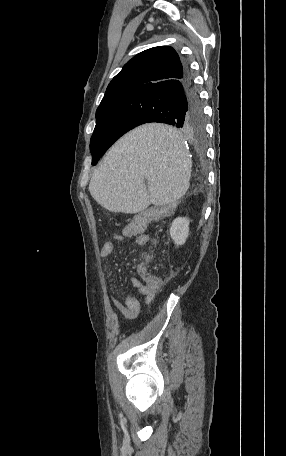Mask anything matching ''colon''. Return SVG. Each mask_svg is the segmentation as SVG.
Listing matches in <instances>:
<instances>
[{
	"label": "colon",
	"instance_id": "1",
	"mask_svg": "<svg viewBox=\"0 0 286 456\" xmlns=\"http://www.w3.org/2000/svg\"><path fill=\"white\" fill-rule=\"evenodd\" d=\"M150 219V214L134 218L126 227L125 233L133 235L143 232ZM134 279L138 285H142L151 291H158L162 286V279L149 274L144 266L137 267Z\"/></svg>",
	"mask_w": 286,
	"mask_h": 456
}]
</instances>
